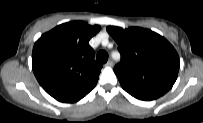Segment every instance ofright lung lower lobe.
Returning a JSON list of instances; mask_svg holds the SVG:
<instances>
[{
	"label": "right lung lower lobe",
	"mask_w": 203,
	"mask_h": 123,
	"mask_svg": "<svg viewBox=\"0 0 203 123\" xmlns=\"http://www.w3.org/2000/svg\"><path fill=\"white\" fill-rule=\"evenodd\" d=\"M94 87L80 93L61 95V96H56L54 98L61 102H67V103L76 102L82 99L84 96H86Z\"/></svg>",
	"instance_id": "right-lung-lower-lobe-1"
}]
</instances>
